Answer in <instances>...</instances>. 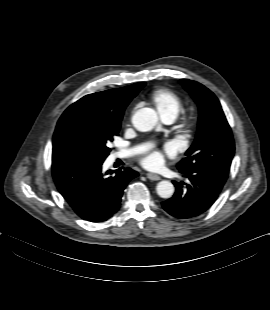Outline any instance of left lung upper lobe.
Instances as JSON below:
<instances>
[{
  "instance_id": "5c2ea615",
  "label": "left lung upper lobe",
  "mask_w": 270,
  "mask_h": 310,
  "mask_svg": "<svg viewBox=\"0 0 270 310\" xmlns=\"http://www.w3.org/2000/svg\"><path fill=\"white\" fill-rule=\"evenodd\" d=\"M181 84L198 104L199 121L195 141L177 168L179 171L203 168L228 175L235 147L219 100L198 82L182 79Z\"/></svg>"
}]
</instances>
